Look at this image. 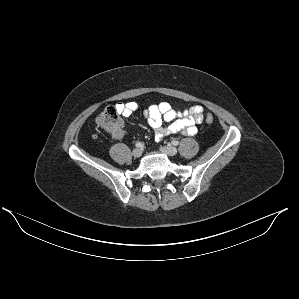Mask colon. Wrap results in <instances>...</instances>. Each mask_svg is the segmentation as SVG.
<instances>
[{"label":"colon","mask_w":299,"mask_h":299,"mask_svg":"<svg viewBox=\"0 0 299 299\" xmlns=\"http://www.w3.org/2000/svg\"><path fill=\"white\" fill-rule=\"evenodd\" d=\"M205 120L207 123L211 124L214 121L212 114H205ZM96 125L99 129L115 134L122 129V120L120 118V113L115 107H107L104 109L96 118Z\"/></svg>","instance_id":"5ec220e1"}]
</instances>
